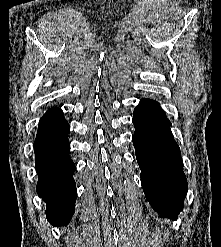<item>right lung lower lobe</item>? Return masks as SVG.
<instances>
[{"mask_svg":"<svg viewBox=\"0 0 221 247\" xmlns=\"http://www.w3.org/2000/svg\"><path fill=\"white\" fill-rule=\"evenodd\" d=\"M69 124L57 107L40 119L34 142L38 173L37 192L46 202L47 220L53 226H66L74 212L77 190L75 165L69 156Z\"/></svg>","mask_w":221,"mask_h":247,"instance_id":"obj_1","label":"right lung lower lobe"}]
</instances>
